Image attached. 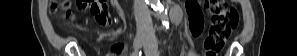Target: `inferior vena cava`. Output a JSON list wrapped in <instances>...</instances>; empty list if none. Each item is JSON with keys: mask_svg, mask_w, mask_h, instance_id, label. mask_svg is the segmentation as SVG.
I'll return each instance as SVG.
<instances>
[{"mask_svg": "<svg viewBox=\"0 0 297 56\" xmlns=\"http://www.w3.org/2000/svg\"><path fill=\"white\" fill-rule=\"evenodd\" d=\"M134 14L136 18L137 27L143 30L146 34L155 39L153 30L151 29L152 19L150 12L147 9L145 0H136L134 5Z\"/></svg>", "mask_w": 297, "mask_h": 56, "instance_id": "602c4592", "label": "inferior vena cava"}]
</instances>
